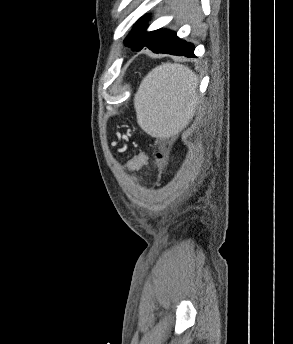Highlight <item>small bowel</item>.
<instances>
[{"instance_id": "small-bowel-1", "label": "small bowel", "mask_w": 293, "mask_h": 344, "mask_svg": "<svg viewBox=\"0 0 293 344\" xmlns=\"http://www.w3.org/2000/svg\"><path fill=\"white\" fill-rule=\"evenodd\" d=\"M147 165H148V159H147L146 155L144 153H139L130 162L129 169L132 172H137ZM138 179L142 180L141 177H139Z\"/></svg>"}]
</instances>
